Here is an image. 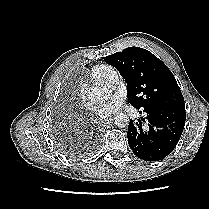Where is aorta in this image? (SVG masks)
I'll return each instance as SVG.
<instances>
[{"label":"aorta","mask_w":209,"mask_h":209,"mask_svg":"<svg viewBox=\"0 0 209 209\" xmlns=\"http://www.w3.org/2000/svg\"><path fill=\"white\" fill-rule=\"evenodd\" d=\"M110 91L106 86H94L88 91V98L91 101L103 102L109 98ZM114 124L117 127L124 128L129 125L127 114L120 113L114 117Z\"/></svg>","instance_id":"obj_1"}]
</instances>
